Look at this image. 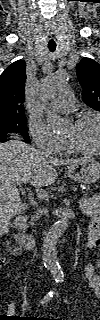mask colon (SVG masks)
I'll list each match as a JSON object with an SVG mask.
<instances>
[{
	"label": "colon",
	"instance_id": "5ec220e1",
	"mask_svg": "<svg viewBox=\"0 0 100 320\" xmlns=\"http://www.w3.org/2000/svg\"><path fill=\"white\" fill-rule=\"evenodd\" d=\"M89 242L91 246H98L100 244V234H99V228L94 226L91 229Z\"/></svg>",
	"mask_w": 100,
	"mask_h": 320
}]
</instances>
